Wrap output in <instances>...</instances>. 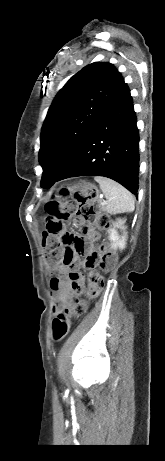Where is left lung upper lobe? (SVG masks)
Returning <instances> with one entry per match:
<instances>
[{
	"label": "left lung upper lobe",
	"instance_id": "obj_1",
	"mask_svg": "<svg viewBox=\"0 0 165 461\" xmlns=\"http://www.w3.org/2000/svg\"><path fill=\"white\" fill-rule=\"evenodd\" d=\"M124 84L112 64L96 62L76 73L58 92L40 136L41 187L54 184Z\"/></svg>",
	"mask_w": 165,
	"mask_h": 461
}]
</instances>
